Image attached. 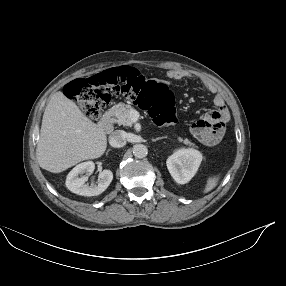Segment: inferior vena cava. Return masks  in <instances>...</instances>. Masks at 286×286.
<instances>
[{"instance_id":"602c4592","label":"inferior vena cava","mask_w":286,"mask_h":286,"mask_svg":"<svg viewBox=\"0 0 286 286\" xmlns=\"http://www.w3.org/2000/svg\"><path fill=\"white\" fill-rule=\"evenodd\" d=\"M110 144L113 147H122L126 144L125 132L122 130H116L110 135Z\"/></svg>"}]
</instances>
